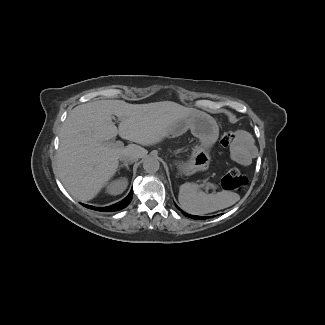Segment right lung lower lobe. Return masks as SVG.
I'll use <instances>...</instances> for the list:
<instances>
[{"instance_id": "right-lung-lower-lobe-1", "label": "right lung lower lobe", "mask_w": 325, "mask_h": 325, "mask_svg": "<svg viewBox=\"0 0 325 325\" xmlns=\"http://www.w3.org/2000/svg\"><path fill=\"white\" fill-rule=\"evenodd\" d=\"M132 195H133V192L131 190L130 193L128 194V196L126 198H124L122 201H120L116 204H113L111 206L104 207V208H97V207H93L90 205H84V206L87 208L93 209V210H97V211H104V212L118 211V210H121V209L125 208L126 206H128V204L132 200Z\"/></svg>"}]
</instances>
